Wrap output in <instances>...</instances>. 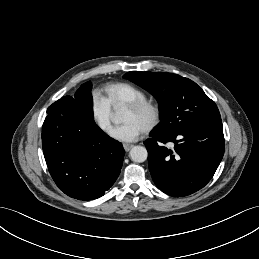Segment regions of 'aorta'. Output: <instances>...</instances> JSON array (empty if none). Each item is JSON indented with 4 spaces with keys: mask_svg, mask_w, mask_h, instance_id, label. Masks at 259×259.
I'll return each mask as SVG.
<instances>
[{
    "mask_svg": "<svg viewBox=\"0 0 259 259\" xmlns=\"http://www.w3.org/2000/svg\"><path fill=\"white\" fill-rule=\"evenodd\" d=\"M130 158L132 161L137 163H142L147 159L148 152L147 149L143 146H134L130 150Z\"/></svg>",
    "mask_w": 259,
    "mask_h": 259,
    "instance_id": "762f6f07",
    "label": "aorta"
}]
</instances>
